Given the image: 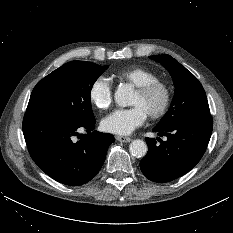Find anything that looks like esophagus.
Masks as SVG:
<instances>
[{
  "instance_id": "34e87169",
  "label": "esophagus",
  "mask_w": 233,
  "mask_h": 233,
  "mask_svg": "<svg viewBox=\"0 0 233 233\" xmlns=\"http://www.w3.org/2000/svg\"><path fill=\"white\" fill-rule=\"evenodd\" d=\"M116 139L119 142H123V143H128L132 140L130 137H124V136H116Z\"/></svg>"
}]
</instances>
